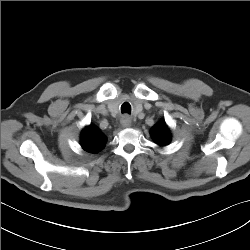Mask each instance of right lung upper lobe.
I'll use <instances>...</instances> for the list:
<instances>
[{
  "instance_id": "cb5924a9",
  "label": "right lung upper lobe",
  "mask_w": 250,
  "mask_h": 250,
  "mask_svg": "<svg viewBox=\"0 0 250 250\" xmlns=\"http://www.w3.org/2000/svg\"><path fill=\"white\" fill-rule=\"evenodd\" d=\"M106 144L105 135L94 126L86 127L81 134V146L90 153H97Z\"/></svg>"
}]
</instances>
